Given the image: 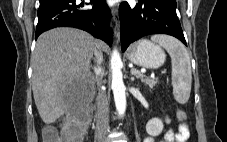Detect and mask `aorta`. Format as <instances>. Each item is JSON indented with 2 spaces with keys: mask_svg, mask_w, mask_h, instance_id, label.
I'll return each instance as SVG.
<instances>
[{
  "mask_svg": "<svg viewBox=\"0 0 227 142\" xmlns=\"http://www.w3.org/2000/svg\"><path fill=\"white\" fill-rule=\"evenodd\" d=\"M111 72H112V90L114 94V100L116 105V110L119 115H123L126 110V95H125V85L123 82L122 75V60L119 52L114 50L111 55Z\"/></svg>",
  "mask_w": 227,
  "mask_h": 142,
  "instance_id": "aorta-1",
  "label": "aorta"
}]
</instances>
